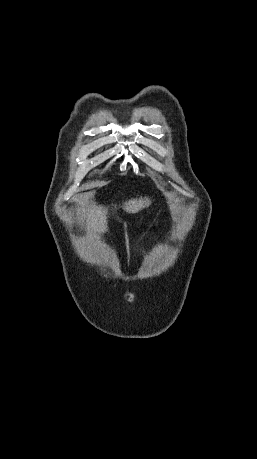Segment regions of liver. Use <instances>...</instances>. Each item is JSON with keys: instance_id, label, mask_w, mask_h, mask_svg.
I'll return each instance as SVG.
<instances>
[{"instance_id": "liver-1", "label": "liver", "mask_w": 257, "mask_h": 459, "mask_svg": "<svg viewBox=\"0 0 257 459\" xmlns=\"http://www.w3.org/2000/svg\"><path fill=\"white\" fill-rule=\"evenodd\" d=\"M150 204L148 198L131 199L124 203L123 209L127 213H137ZM107 214L108 208L97 206L94 204L87 211V219L85 221V230L95 234L104 233L107 231Z\"/></svg>"}]
</instances>
